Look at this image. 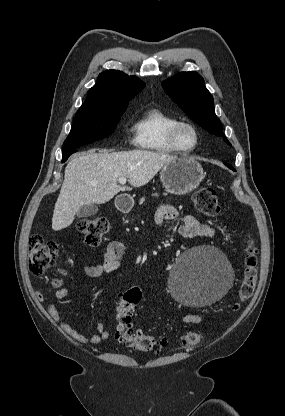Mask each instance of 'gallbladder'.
<instances>
[{
  "mask_svg": "<svg viewBox=\"0 0 285 416\" xmlns=\"http://www.w3.org/2000/svg\"><path fill=\"white\" fill-rule=\"evenodd\" d=\"M97 212V204H90V206H83V208H80L76 216L77 218H89V216H94V214H97Z\"/></svg>",
  "mask_w": 285,
  "mask_h": 416,
  "instance_id": "obj_1",
  "label": "gallbladder"
}]
</instances>
